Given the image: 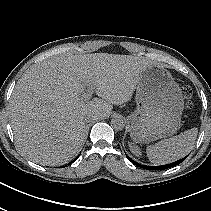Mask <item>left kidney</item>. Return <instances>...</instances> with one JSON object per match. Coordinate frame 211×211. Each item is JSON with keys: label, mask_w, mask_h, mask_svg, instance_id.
<instances>
[{"label": "left kidney", "mask_w": 211, "mask_h": 211, "mask_svg": "<svg viewBox=\"0 0 211 211\" xmlns=\"http://www.w3.org/2000/svg\"><path fill=\"white\" fill-rule=\"evenodd\" d=\"M130 146V150L131 152L136 155V156H140L141 155V152L139 150V148L137 146H132V145H129Z\"/></svg>", "instance_id": "left-kidney-1"}]
</instances>
